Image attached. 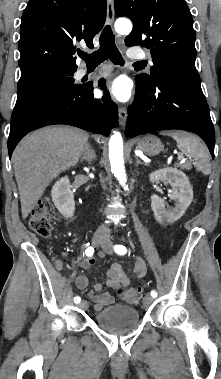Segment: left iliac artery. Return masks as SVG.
I'll list each match as a JSON object with an SVG mask.
<instances>
[{
	"mask_svg": "<svg viewBox=\"0 0 221 379\" xmlns=\"http://www.w3.org/2000/svg\"><path fill=\"white\" fill-rule=\"evenodd\" d=\"M114 251H115L117 254H119V255H124V254L127 253V249H126V247L123 246V245H115V246H114ZM150 295H151L153 298H155V297H157V292H156L155 290H152L151 293H150Z\"/></svg>",
	"mask_w": 221,
	"mask_h": 379,
	"instance_id": "obj_1",
	"label": "left iliac artery"
}]
</instances>
